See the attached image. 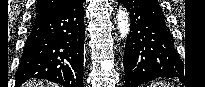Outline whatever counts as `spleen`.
I'll return each instance as SVG.
<instances>
[{"label":"spleen","instance_id":"obj_1","mask_svg":"<svg viewBox=\"0 0 205 87\" xmlns=\"http://www.w3.org/2000/svg\"><path fill=\"white\" fill-rule=\"evenodd\" d=\"M150 87H171L169 83L155 82L150 84Z\"/></svg>","mask_w":205,"mask_h":87}]
</instances>
